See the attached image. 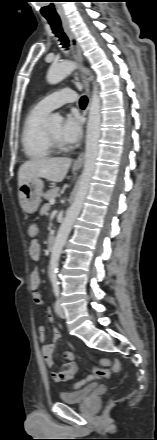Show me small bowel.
<instances>
[{"label":"small bowel","mask_w":157,"mask_h":440,"mask_svg":"<svg viewBox=\"0 0 157 440\" xmlns=\"http://www.w3.org/2000/svg\"><path fill=\"white\" fill-rule=\"evenodd\" d=\"M47 207L43 208V211L46 210ZM30 256L33 260L37 261L41 255V247L38 242V239H31ZM30 285L34 290L33 300L37 305L43 304L42 294L39 290L40 288V275L37 270H34L30 275ZM47 318L50 322L54 321V316L50 309L47 310ZM39 341L42 343V354L45 360V363L48 367L52 368L55 364L54 360V351L57 341L60 338V333L57 329L54 330V334L52 340L48 343H45L46 331L45 327L39 326ZM63 357L65 362L62 364V367L59 371H52L51 377L57 383L67 382L75 376L77 373V365L74 362V353L71 350H66L63 353Z\"/></svg>","instance_id":"obj_1"}]
</instances>
